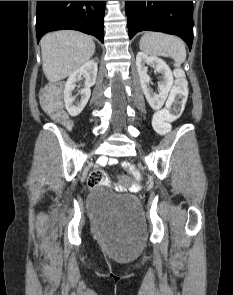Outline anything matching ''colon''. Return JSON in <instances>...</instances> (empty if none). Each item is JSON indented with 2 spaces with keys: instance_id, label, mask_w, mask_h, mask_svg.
<instances>
[{
  "instance_id": "colon-1",
  "label": "colon",
  "mask_w": 233,
  "mask_h": 295,
  "mask_svg": "<svg viewBox=\"0 0 233 295\" xmlns=\"http://www.w3.org/2000/svg\"><path fill=\"white\" fill-rule=\"evenodd\" d=\"M175 83L171 89L166 106L158 110L154 115V127L160 134H168L171 130V123L182 113L188 97V82L181 70H176ZM62 85L59 83L49 84L41 94L43 109L54 120L69 126L68 116L64 109L60 95ZM128 172L136 179H140L138 169L129 162L123 163ZM89 187L108 186L109 180L102 170H93L88 177Z\"/></svg>"
}]
</instances>
